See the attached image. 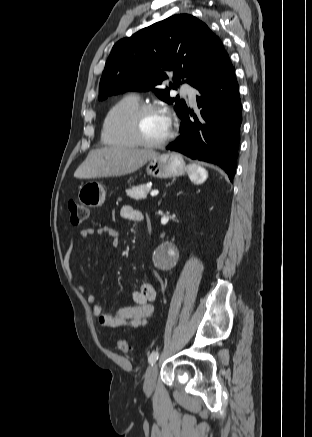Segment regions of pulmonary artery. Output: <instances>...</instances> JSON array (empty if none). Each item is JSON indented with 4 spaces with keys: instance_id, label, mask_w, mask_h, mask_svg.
Wrapping results in <instances>:
<instances>
[{
    "instance_id": "obj_1",
    "label": "pulmonary artery",
    "mask_w": 312,
    "mask_h": 437,
    "mask_svg": "<svg viewBox=\"0 0 312 437\" xmlns=\"http://www.w3.org/2000/svg\"><path fill=\"white\" fill-rule=\"evenodd\" d=\"M183 93L188 96L189 101L192 105L196 104V90L191 87H183Z\"/></svg>"
}]
</instances>
